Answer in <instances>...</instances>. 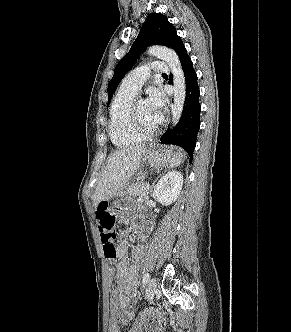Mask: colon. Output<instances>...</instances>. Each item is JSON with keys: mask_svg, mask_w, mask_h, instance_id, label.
Here are the masks:
<instances>
[{"mask_svg": "<svg viewBox=\"0 0 291 332\" xmlns=\"http://www.w3.org/2000/svg\"><path fill=\"white\" fill-rule=\"evenodd\" d=\"M98 227L103 244V250L107 259L113 260L117 257L116 217L106 203H101L97 211ZM118 317H113L110 323L109 332H121Z\"/></svg>", "mask_w": 291, "mask_h": 332, "instance_id": "obj_1", "label": "colon"}]
</instances>
